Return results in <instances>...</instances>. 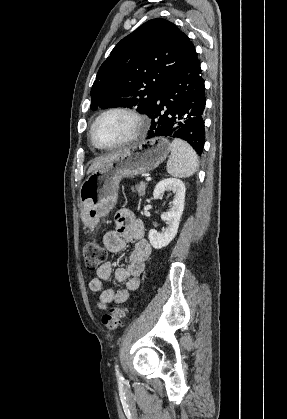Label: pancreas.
<instances>
[{
    "label": "pancreas",
    "mask_w": 287,
    "mask_h": 419,
    "mask_svg": "<svg viewBox=\"0 0 287 419\" xmlns=\"http://www.w3.org/2000/svg\"><path fill=\"white\" fill-rule=\"evenodd\" d=\"M146 187H147V184L144 182H141L140 184L136 185L135 189L137 190L139 195L142 196L146 190Z\"/></svg>",
    "instance_id": "cf45deb5"
}]
</instances>
